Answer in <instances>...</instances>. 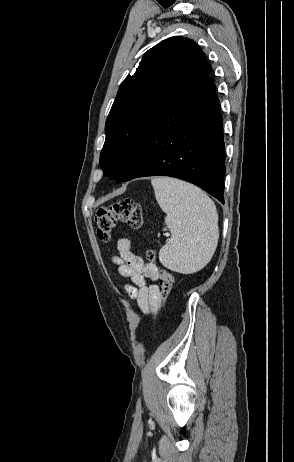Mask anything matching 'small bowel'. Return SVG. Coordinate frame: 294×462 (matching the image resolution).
Wrapping results in <instances>:
<instances>
[{
	"mask_svg": "<svg viewBox=\"0 0 294 462\" xmlns=\"http://www.w3.org/2000/svg\"><path fill=\"white\" fill-rule=\"evenodd\" d=\"M117 250L118 255L114 256L113 261L118 265L119 274L131 281L125 286L126 291L137 302L142 312H153L161 301L157 285L158 268L152 263H146L139 254L134 253L128 238L118 240Z\"/></svg>",
	"mask_w": 294,
	"mask_h": 462,
	"instance_id": "obj_1",
	"label": "small bowel"
}]
</instances>
